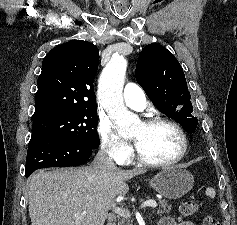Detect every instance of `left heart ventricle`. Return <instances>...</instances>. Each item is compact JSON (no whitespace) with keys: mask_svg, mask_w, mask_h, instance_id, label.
I'll return each mask as SVG.
<instances>
[{"mask_svg":"<svg viewBox=\"0 0 237 225\" xmlns=\"http://www.w3.org/2000/svg\"><path fill=\"white\" fill-rule=\"evenodd\" d=\"M138 151L152 161H167L176 157L181 150L177 132L167 125L145 127L139 124L131 133Z\"/></svg>","mask_w":237,"mask_h":225,"instance_id":"obj_1","label":"left heart ventricle"}]
</instances>
